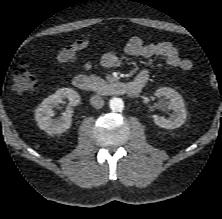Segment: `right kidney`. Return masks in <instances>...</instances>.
Here are the masks:
<instances>
[{
    "mask_svg": "<svg viewBox=\"0 0 222 219\" xmlns=\"http://www.w3.org/2000/svg\"><path fill=\"white\" fill-rule=\"evenodd\" d=\"M69 100V106H76L80 102L79 94L71 88H61L50 95L35 110V120L41 130L49 135L66 132L72 125L73 110L69 107L60 119H53V108L58 107L63 100Z\"/></svg>",
    "mask_w": 222,
    "mask_h": 219,
    "instance_id": "obj_1",
    "label": "right kidney"
}]
</instances>
